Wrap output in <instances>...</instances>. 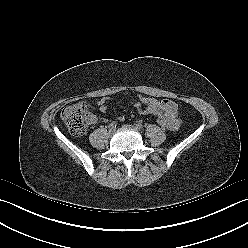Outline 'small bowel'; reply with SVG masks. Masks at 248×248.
Wrapping results in <instances>:
<instances>
[{"label":"small bowel","instance_id":"obj_1","mask_svg":"<svg viewBox=\"0 0 248 248\" xmlns=\"http://www.w3.org/2000/svg\"><path fill=\"white\" fill-rule=\"evenodd\" d=\"M109 100L110 97H103L98 101L97 104L101 112L107 110ZM131 104L142 114H150L158 118L166 119L169 123L168 128L170 130L175 131L180 127L178 107L176 103L171 100H157L139 95L132 99ZM93 122H95V118H93Z\"/></svg>","mask_w":248,"mask_h":248}]
</instances>
